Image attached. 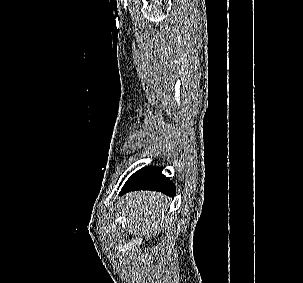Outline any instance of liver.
<instances>
[{"instance_id": "6515ba94", "label": "liver", "mask_w": 303, "mask_h": 283, "mask_svg": "<svg viewBox=\"0 0 303 283\" xmlns=\"http://www.w3.org/2000/svg\"><path fill=\"white\" fill-rule=\"evenodd\" d=\"M120 208L126 227L134 231V234L144 233L151 237V233L160 232L164 228L167 198L161 193L150 191L129 193L125 204H121Z\"/></svg>"}]
</instances>
